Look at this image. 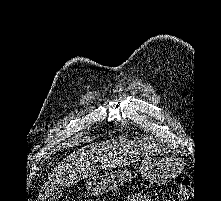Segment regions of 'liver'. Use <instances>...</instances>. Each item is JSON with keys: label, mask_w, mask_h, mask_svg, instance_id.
Listing matches in <instances>:
<instances>
[{"label": "liver", "mask_w": 221, "mask_h": 201, "mask_svg": "<svg viewBox=\"0 0 221 201\" xmlns=\"http://www.w3.org/2000/svg\"><path fill=\"white\" fill-rule=\"evenodd\" d=\"M159 148L150 142L131 141L125 138L111 139L86 145L68 155L49 176V182L42 190V199L54 190L65 187L97 174L95 165L110 169L131 164Z\"/></svg>", "instance_id": "obj_1"}]
</instances>
